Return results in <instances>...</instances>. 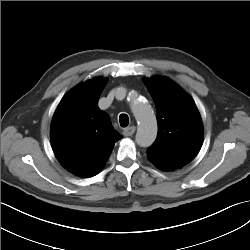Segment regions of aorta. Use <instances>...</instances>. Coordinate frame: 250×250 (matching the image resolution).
Instances as JSON below:
<instances>
[{
  "label": "aorta",
  "instance_id": "762f6f07",
  "mask_svg": "<svg viewBox=\"0 0 250 250\" xmlns=\"http://www.w3.org/2000/svg\"><path fill=\"white\" fill-rule=\"evenodd\" d=\"M131 108L138 122L136 143L141 147H150L157 137V121L151 106L138 97H130Z\"/></svg>",
  "mask_w": 250,
  "mask_h": 250
}]
</instances>
